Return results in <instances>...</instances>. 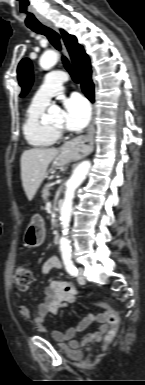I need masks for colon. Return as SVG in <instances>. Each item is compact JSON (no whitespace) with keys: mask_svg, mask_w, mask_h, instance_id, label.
I'll return each mask as SVG.
<instances>
[{"mask_svg":"<svg viewBox=\"0 0 145 385\" xmlns=\"http://www.w3.org/2000/svg\"><path fill=\"white\" fill-rule=\"evenodd\" d=\"M14 279L18 289L26 290L32 280V273L29 268L26 266H18L14 272ZM57 289L61 292H70L69 288L63 284L57 285ZM74 292L76 289L74 288ZM99 307L105 310L107 321L110 326L109 332L106 334L104 338L105 343H109L115 337L119 326H120V315L117 309L114 306L98 302L96 303Z\"/></svg>","mask_w":145,"mask_h":385,"instance_id":"obj_1","label":"colon"}]
</instances>
